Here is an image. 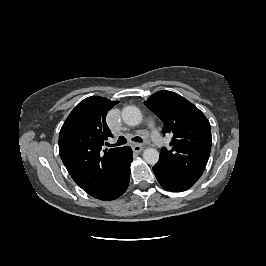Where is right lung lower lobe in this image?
I'll return each mask as SVG.
<instances>
[{"label":"right lung lower lobe","instance_id":"98d812e1","mask_svg":"<svg viewBox=\"0 0 266 266\" xmlns=\"http://www.w3.org/2000/svg\"><path fill=\"white\" fill-rule=\"evenodd\" d=\"M132 160V150L130 147H127L125 157L123 158L109 189L97 199L103 201L113 200L118 198L126 191L129 184L130 164Z\"/></svg>","mask_w":266,"mask_h":266}]
</instances>
